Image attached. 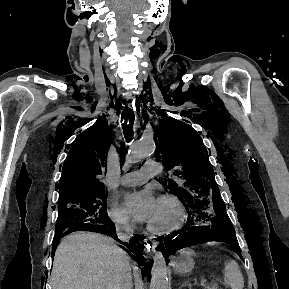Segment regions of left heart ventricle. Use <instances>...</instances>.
<instances>
[{
	"label": "left heart ventricle",
	"instance_id": "obj_1",
	"mask_svg": "<svg viewBox=\"0 0 289 289\" xmlns=\"http://www.w3.org/2000/svg\"><path fill=\"white\" fill-rule=\"evenodd\" d=\"M176 219V209L169 203L159 201L157 210L149 223L155 227H163L173 223Z\"/></svg>",
	"mask_w": 289,
	"mask_h": 289
}]
</instances>
